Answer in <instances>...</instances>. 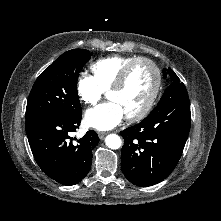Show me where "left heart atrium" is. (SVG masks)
I'll list each match as a JSON object with an SVG mask.
<instances>
[{"mask_svg":"<svg viewBox=\"0 0 221 221\" xmlns=\"http://www.w3.org/2000/svg\"><path fill=\"white\" fill-rule=\"evenodd\" d=\"M124 117L122 108L116 102L110 101L88 110L85 122L97 130H109L117 126Z\"/></svg>","mask_w":221,"mask_h":221,"instance_id":"left-heart-atrium-1","label":"left heart atrium"}]
</instances>
